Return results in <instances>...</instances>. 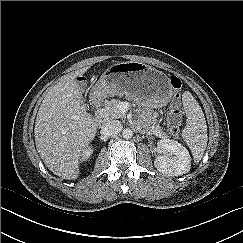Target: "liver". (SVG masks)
<instances>
[{
    "label": "liver",
    "mask_w": 243,
    "mask_h": 243,
    "mask_svg": "<svg viewBox=\"0 0 243 243\" xmlns=\"http://www.w3.org/2000/svg\"><path fill=\"white\" fill-rule=\"evenodd\" d=\"M89 66L65 75L43 99L35 122L37 151L55 175L76 179L83 150L95 137L97 126L82 103L76 78Z\"/></svg>",
    "instance_id": "liver-1"
}]
</instances>
